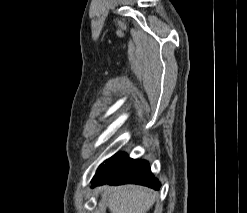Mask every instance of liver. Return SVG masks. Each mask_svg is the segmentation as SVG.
<instances>
[{
  "mask_svg": "<svg viewBox=\"0 0 247 213\" xmlns=\"http://www.w3.org/2000/svg\"><path fill=\"white\" fill-rule=\"evenodd\" d=\"M102 201L110 213H147L155 202V195L141 186H106L102 188Z\"/></svg>",
  "mask_w": 247,
  "mask_h": 213,
  "instance_id": "1",
  "label": "liver"
}]
</instances>
